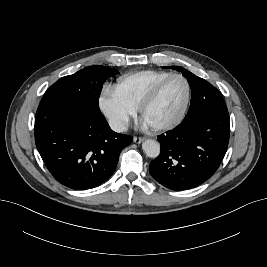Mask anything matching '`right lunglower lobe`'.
I'll use <instances>...</instances> for the list:
<instances>
[{
    "instance_id": "right-lung-lower-lobe-1",
    "label": "right lung lower lobe",
    "mask_w": 267,
    "mask_h": 267,
    "mask_svg": "<svg viewBox=\"0 0 267 267\" xmlns=\"http://www.w3.org/2000/svg\"><path fill=\"white\" fill-rule=\"evenodd\" d=\"M132 139L112 131L101 111L47 97L38 106L37 149L53 177L71 189H91L108 180Z\"/></svg>"
}]
</instances>
